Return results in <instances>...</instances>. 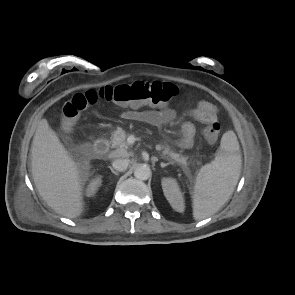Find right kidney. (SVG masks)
<instances>
[{
    "label": "right kidney",
    "mask_w": 295,
    "mask_h": 295,
    "mask_svg": "<svg viewBox=\"0 0 295 295\" xmlns=\"http://www.w3.org/2000/svg\"><path fill=\"white\" fill-rule=\"evenodd\" d=\"M102 183V177L101 176H97L94 179H92L87 187V195L88 196H93L96 191L98 190V188L101 186Z\"/></svg>",
    "instance_id": "obj_1"
}]
</instances>
